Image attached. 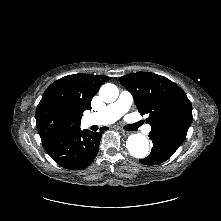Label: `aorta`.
I'll use <instances>...</instances> for the list:
<instances>
[{
  "label": "aorta",
  "instance_id": "aorta-1",
  "mask_svg": "<svg viewBox=\"0 0 221 221\" xmlns=\"http://www.w3.org/2000/svg\"><path fill=\"white\" fill-rule=\"evenodd\" d=\"M118 95L117 86L111 83L102 85L99 90L100 98L106 103L114 102ZM126 147L131 156L135 158H144L149 153V141L142 134H131L127 139Z\"/></svg>",
  "mask_w": 221,
  "mask_h": 221
}]
</instances>
